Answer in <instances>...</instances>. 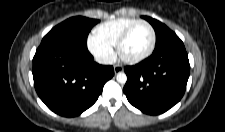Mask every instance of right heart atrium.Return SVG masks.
Returning <instances> with one entry per match:
<instances>
[{"label": "right heart atrium", "instance_id": "d8ad5b80", "mask_svg": "<svg viewBox=\"0 0 225 132\" xmlns=\"http://www.w3.org/2000/svg\"><path fill=\"white\" fill-rule=\"evenodd\" d=\"M88 49L101 63L109 64L115 58L113 47L100 41L95 36H90L87 41Z\"/></svg>", "mask_w": 225, "mask_h": 132}]
</instances>
